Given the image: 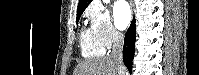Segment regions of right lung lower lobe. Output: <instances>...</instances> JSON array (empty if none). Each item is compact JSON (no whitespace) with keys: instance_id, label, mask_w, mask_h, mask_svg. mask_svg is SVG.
Segmentation results:
<instances>
[{"instance_id":"98d812e1","label":"right lung lower lobe","mask_w":199,"mask_h":75,"mask_svg":"<svg viewBox=\"0 0 199 75\" xmlns=\"http://www.w3.org/2000/svg\"><path fill=\"white\" fill-rule=\"evenodd\" d=\"M135 19H133L129 29L126 32L123 47V61L130 73L132 72V60L135 51Z\"/></svg>"}]
</instances>
